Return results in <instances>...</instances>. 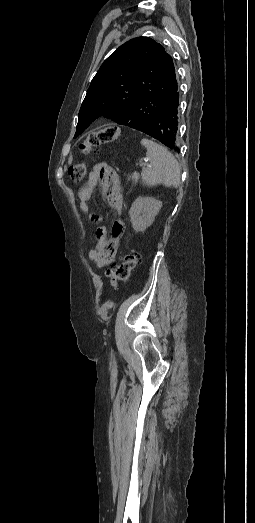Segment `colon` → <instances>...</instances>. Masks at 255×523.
I'll return each mask as SVG.
<instances>
[{
  "label": "colon",
  "mask_w": 255,
  "mask_h": 523,
  "mask_svg": "<svg viewBox=\"0 0 255 523\" xmlns=\"http://www.w3.org/2000/svg\"><path fill=\"white\" fill-rule=\"evenodd\" d=\"M118 137L119 129L117 127L110 126L95 130L87 135L79 148L82 153L89 154L96 147L114 142ZM87 170V163L80 162L69 168V175L74 181H81L85 177ZM137 264L138 256L136 253L130 252L123 255L120 263L107 272L110 284L115 287L119 282L128 281L131 272L136 268Z\"/></svg>",
  "instance_id": "1"
}]
</instances>
